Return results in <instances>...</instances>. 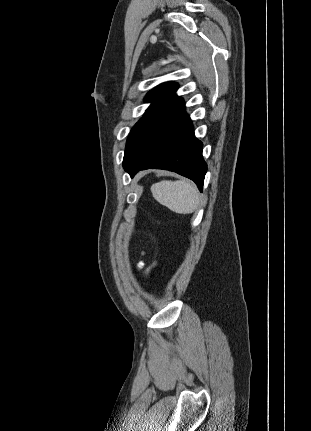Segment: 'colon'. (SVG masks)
<instances>
[{
	"mask_svg": "<svg viewBox=\"0 0 311 431\" xmlns=\"http://www.w3.org/2000/svg\"><path fill=\"white\" fill-rule=\"evenodd\" d=\"M158 265H159V260L154 262V264L147 270V273H150L153 269L158 267Z\"/></svg>",
	"mask_w": 311,
	"mask_h": 431,
	"instance_id": "5ec220e1",
	"label": "colon"
}]
</instances>
